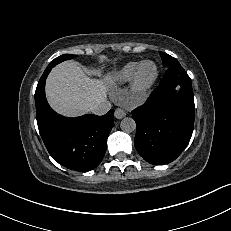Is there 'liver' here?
<instances>
[{"label":"liver","instance_id":"liver-1","mask_svg":"<svg viewBox=\"0 0 231 231\" xmlns=\"http://www.w3.org/2000/svg\"><path fill=\"white\" fill-rule=\"evenodd\" d=\"M111 76L89 78L76 62L65 61L54 67L46 81L50 106L64 116H79L106 101Z\"/></svg>","mask_w":231,"mask_h":231}]
</instances>
